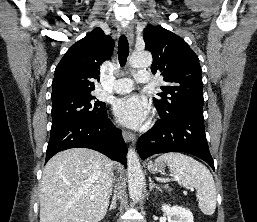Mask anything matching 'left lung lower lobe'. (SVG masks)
Returning a JSON list of instances; mask_svg holds the SVG:
<instances>
[{
	"mask_svg": "<svg viewBox=\"0 0 257 222\" xmlns=\"http://www.w3.org/2000/svg\"><path fill=\"white\" fill-rule=\"evenodd\" d=\"M161 119L137 142L140 157L146 159L158 153L185 152L199 157L214 170L204 131V118L198 115H180Z\"/></svg>",
	"mask_w": 257,
	"mask_h": 222,
	"instance_id": "0a47b994",
	"label": "left lung lower lobe"
}]
</instances>
